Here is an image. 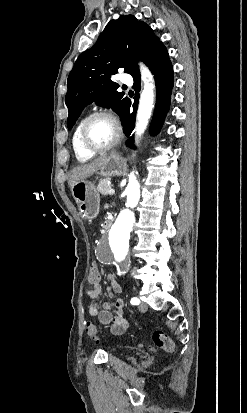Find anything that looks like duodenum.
I'll return each mask as SVG.
<instances>
[{
  "instance_id": "410a0bca",
  "label": "duodenum",
  "mask_w": 247,
  "mask_h": 413,
  "mask_svg": "<svg viewBox=\"0 0 247 413\" xmlns=\"http://www.w3.org/2000/svg\"><path fill=\"white\" fill-rule=\"evenodd\" d=\"M110 227H111V221H110V220L105 221V223H104V229H105V230H109Z\"/></svg>"
}]
</instances>
